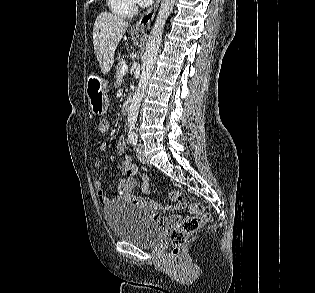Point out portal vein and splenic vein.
<instances>
[{
  "instance_id": "obj_1",
  "label": "portal vein and splenic vein",
  "mask_w": 315,
  "mask_h": 293,
  "mask_svg": "<svg viewBox=\"0 0 315 293\" xmlns=\"http://www.w3.org/2000/svg\"><path fill=\"white\" fill-rule=\"evenodd\" d=\"M127 71H128V66H127V64H124L122 69H121V74L125 75L127 73Z\"/></svg>"
}]
</instances>
